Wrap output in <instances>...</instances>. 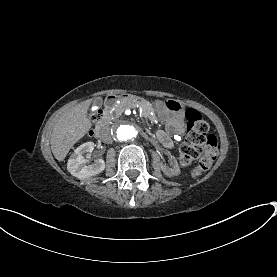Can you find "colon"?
Segmentation results:
<instances>
[{"label": "colon", "mask_w": 277, "mask_h": 277, "mask_svg": "<svg viewBox=\"0 0 277 277\" xmlns=\"http://www.w3.org/2000/svg\"><path fill=\"white\" fill-rule=\"evenodd\" d=\"M102 110L97 109L92 114V120L97 121ZM187 122V136L179 151V164L187 167L195 163L193 174L198 176L210 168L217 152V139L214 135H207L208 125L202 115L194 109L185 113Z\"/></svg>", "instance_id": "5ec220e1"}]
</instances>
